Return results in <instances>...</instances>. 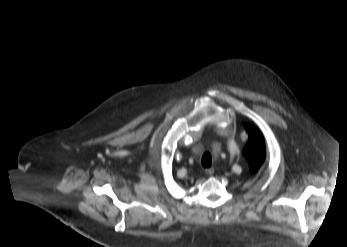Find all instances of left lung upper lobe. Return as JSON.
Wrapping results in <instances>:
<instances>
[{"instance_id":"obj_1","label":"left lung upper lobe","mask_w":347,"mask_h":247,"mask_svg":"<svg viewBox=\"0 0 347 247\" xmlns=\"http://www.w3.org/2000/svg\"><path fill=\"white\" fill-rule=\"evenodd\" d=\"M250 142L245 148L244 154L248 159L251 169L258 170L265 158V144L258 130H249Z\"/></svg>"}]
</instances>
